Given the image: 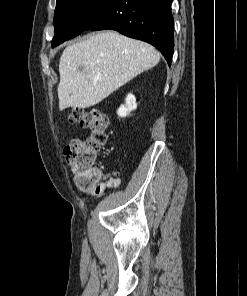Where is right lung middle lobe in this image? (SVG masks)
I'll use <instances>...</instances> for the list:
<instances>
[{
	"label": "right lung middle lobe",
	"mask_w": 247,
	"mask_h": 296,
	"mask_svg": "<svg viewBox=\"0 0 247 296\" xmlns=\"http://www.w3.org/2000/svg\"><path fill=\"white\" fill-rule=\"evenodd\" d=\"M106 0H57L52 46L81 34L93 11Z\"/></svg>",
	"instance_id": "dd1d6c3e"
}]
</instances>
